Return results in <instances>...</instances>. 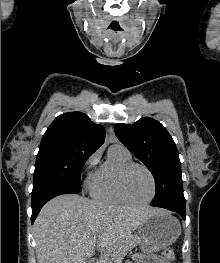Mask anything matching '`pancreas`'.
<instances>
[{"label":"pancreas","instance_id":"pancreas-1","mask_svg":"<svg viewBox=\"0 0 220 263\" xmlns=\"http://www.w3.org/2000/svg\"><path fill=\"white\" fill-rule=\"evenodd\" d=\"M140 241V238L137 235L130 236L126 242L123 248L121 249V254L126 253L128 250L132 249L135 247Z\"/></svg>","mask_w":220,"mask_h":263}]
</instances>
